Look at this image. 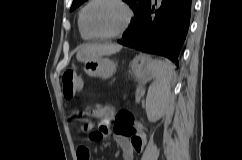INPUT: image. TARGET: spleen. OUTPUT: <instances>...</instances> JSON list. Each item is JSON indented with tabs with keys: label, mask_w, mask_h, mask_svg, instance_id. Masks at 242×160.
<instances>
[{
	"label": "spleen",
	"mask_w": 242,
	"mask_h": 160,
	"mask_svg": "<svg viewBox=\"0 0 242 160\" xmlns=\"http://www.w3.org/2000/svg\"><path fill=\"white\" fill-rule=\"evenodd\" d=\"M148 66L154 82L149 87L146 103H151L157 108L166 107L170 97L174 66L168 61L153 60L150 57Z\"/></svg>",
	"instance_id": "1"
}]
</instances>
